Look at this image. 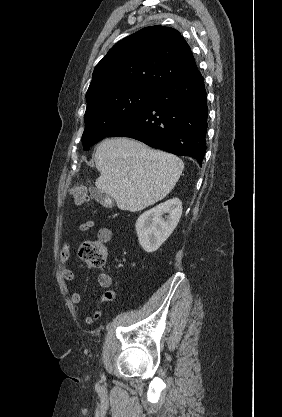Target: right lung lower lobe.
Wrapping results in <instances>:
<instances>
[{"label": "right lung lower lobe", "mask_w": 282, "mask_h": 417, "mask_svg": "<svg viewBox=\"0 0 282 417\" xmlns=\"http://www.w3.org/2000/svg\"><path fill=\"white\" fill-rule=\"evenodd\" d=\"M207 102L198 70L158 89L137 113L106 137H130L202 164L206 151Z\"/></svg>", "instance_id": "1"}]
</instances>
